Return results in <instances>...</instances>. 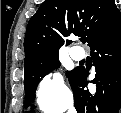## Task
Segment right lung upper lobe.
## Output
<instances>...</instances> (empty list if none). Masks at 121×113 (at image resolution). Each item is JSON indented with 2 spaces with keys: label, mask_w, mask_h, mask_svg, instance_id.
Here are the masks:
<instances>
[{
  "label": "right lung upper lobe",
  "mask_w": 121,
  "mask_h": 113,
  "mask_svg": "<svg viewBox=\"0 0 121 113\" xmlns=\"http://www.w3.org/2000/svg\"><path fill=\"white\" fill-rule=\"evenodd\" d=\"M119 26L121 13L114 0H45L28 23L24 69L58 55L70 34L87 35L90 46Z\"/></svg>",
  "instance_id": "obj_1"
}]
</instances>
